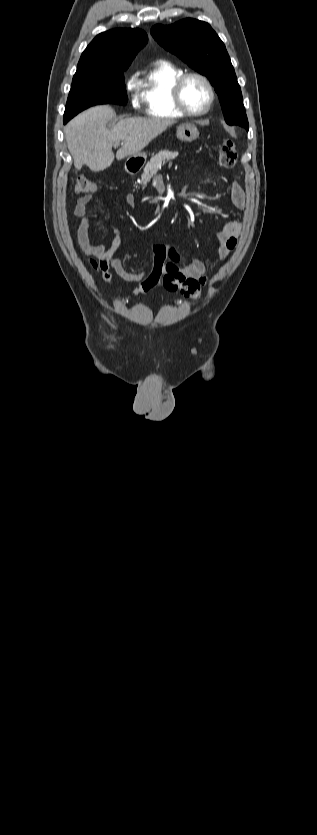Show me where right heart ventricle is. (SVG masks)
Instances as JSON below:
<instances>
[{
    "mask_svg": "<svg viewBox=\"0 0 317 835\" xmlns=\"http://www.w3.org/2000/svg\"><path fill=\"white\" fill-rule=\"evenodd\" d=\"M184 74L182 68L168 61L156 62L141 82V100L148 116L158 119L183 117L173 99L172 89Z\"/></svg>",
    "mask_w": 317,
    "mask_h": 835,
    "instance_id": "e07e8e85",
    "label": "right heart ventricle"
}]
</instances>
